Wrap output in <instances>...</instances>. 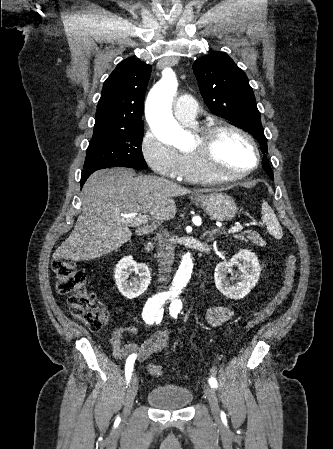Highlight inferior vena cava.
<instances>
[{
	"instance_id": "inferior-vena-cava-1",
	"label": "inferior vena cava",
	"mask_w": 333,
	"mask_h": 449,
	"mask_svg": "<svg viewBox=\"0 0 333 449\" xmlns=\"http://www.w3.org/2000/svg\"><path fill=\"white\" fill-rule=\"evenodd\" d=\"M158 240V261H159V282L163 284L159 288H164V284L167 282L169 274L171 272L173 260H174V239L169 234L158 233L156 236Z\"/></svg>"
}]
</instances>
